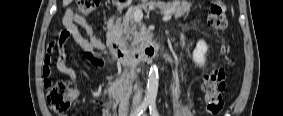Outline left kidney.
I'll use <instances>...</instances> for the list:
<instances>
[{
    "instance_id": "left-kidney-1",
    "label": "left kidney",
    "mask_w": 283,
    "mask_h": 116,
    "mask_svg": "<svg viewBox=\"0 0 283 116\" xmlns=\"http://www.w3.org/2000/svg\"><path fill=\"white\" fill-rule=\"evenodd\" d=\"M207 49L208 47L206 45V42L204 40H199L192 55V58L197 65L204 66Z\"/></svg>"
}]
</instances>
